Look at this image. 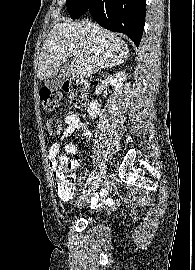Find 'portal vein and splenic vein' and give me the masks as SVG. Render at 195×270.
Instances as JSON below:
<instances>
[{"instance_id":"1","label":"portal vein and splenic vein","mask_w":195,"mask_h":270,"mask_svg":"<svg viewBox=\"0 0 195 270\" xmlns=\"http://www.w3.org/2000/svg\"><path fill=\"white\" fill-rule=\"evenodd\" d=\"M70 52L73 54V56L77 55V52L76 51L70 50Z\"/></svg>"}]
</instances>
